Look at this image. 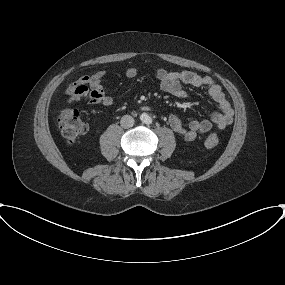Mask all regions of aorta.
<instances>
[{"mask_svg": "<svg viewBox=\"0 0 285 285\" xmlns=\"http://www.w3.org/2000/svg\"><path fill=\"white\" fill-rule=\"evenodd\" d=\"M140 120L145 124H150L152 122L151 117L147 113H142L140 116Z\"/></svg>", "mask_w": 285, "mask_h": 285, "instance_id": "762f6f07", "label": "aorta"}]
</instances>
